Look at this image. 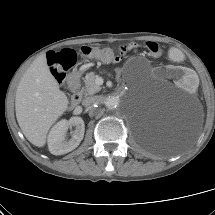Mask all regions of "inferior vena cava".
<instances>
[{
	"mask_svg": "<svg viewBox=\"0 0 215 215\" xmlns=\"http://www.w3.org/2000/svg\"><path fill=\"white\" fill-rule=\"evenodd\" d=\"M99 101V98L97 96L94 97H87L83 100L82 105L83 106H89L97 103Z\"/></svg>",
	"mask_w": 215,
	"mask_h": 215,
	"instance_id": "1",
	"label": "inferior vena cava"
}]
</instances>
